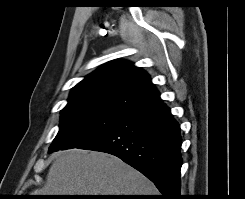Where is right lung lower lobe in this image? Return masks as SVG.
<instances>
[{
	"label": "right lung lower lobe",
	"instance_id": "98d812e1",
	"mask_svg": "<svg viewBox=\"0 0 245 199\" xmlns=\"http://www.w3.org/2000/svg\"><path fill=\"white\" fill-rule=\"evenodd\" d=\"M181 143L179 124L161 101L77 148L115 155L149 178L162 193L160 199H181Z\"/></svg>",
	"mask_w": 245,
	"mask_h": 199
}]
</instances>
